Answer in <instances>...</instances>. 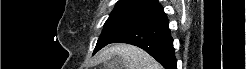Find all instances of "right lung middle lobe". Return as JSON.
<instances>
[{"label":"right lung middle lobe","mask_w":246,"mask_h":69,"mask_svg":"<svg viewBox=\"0 0 246 69\" xmlns=\"http://www.w3.org/2000/svg\"><path fill=\"white\" fill-rule=\"evenodd\" d=\"M143 20L142 16H122L116 18H108L104 24L103 31L98 39L93 54L101 48L111 43L119 35L137 25Z\"/></svg>","instance_id":"dd1d6c3e"}]
</instances>
